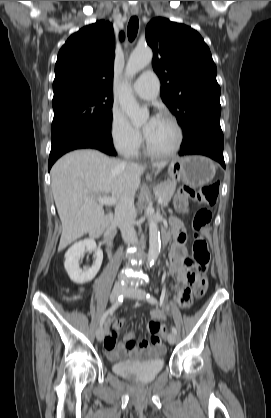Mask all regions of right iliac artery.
Wrapping results in <instances>:
<instances>
[{"label":"right iliac artery","instance_id":"obj_1","mask_svg":"<svg viewBox=\"0 0 271 418\" xmlns=\"http://www.w3.org/2000/svg\"><path fill=\"white\" fill-rule=\"evenodd\" d=\"M123 296H120L117 301L103 314L100 320V326H102L109 314H113L114 311L122 304Z\"/></svg>","mask_w":271,"mask_h":418}]
</instances>
